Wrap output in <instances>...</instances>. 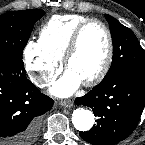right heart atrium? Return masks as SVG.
Returning <instances> with one entry per match:
<instances>
[{"instance_id":"1","label":"right heart atrium","mask_w":145,"mask_h":145,"mask_svg":"<svg viewBox=\"0 0 145 145\" xmlns=\"http://www.w3.org/2000/svg\"><path fill=\"white\" fill-rule=\"evenodd\" d=\"M23 56L28 74L40 86L52 83L61 69V60L46 52L38 41L28 42Z\"/></svg>"}]
</instances>
